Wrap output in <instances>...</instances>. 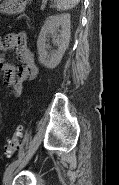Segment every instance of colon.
<instances>
[{"label": "colon", "mask_w": 119, "mask_h": 185, "mask_svg": "<svg viewBox=\"0 0 119 185\" xmlns=\"http://www.w3.org/2000/svg\"><path fill=\"white\" fill-rule=\"evenodd\" d=\"M22 131H23V127L18 126L15 132L13 133V135L11 136V138L7 141L5 145V152L8 157L15 155L19 150Z\"/></svg>", "instance_id": "1"}]
</instances>
